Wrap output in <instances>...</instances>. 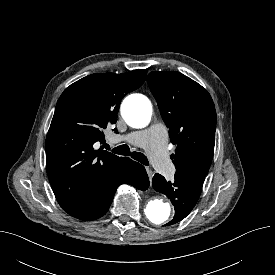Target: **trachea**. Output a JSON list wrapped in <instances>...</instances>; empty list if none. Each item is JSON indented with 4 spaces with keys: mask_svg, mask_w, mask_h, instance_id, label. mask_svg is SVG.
Wrapping results in <instances>:
<instances>
[{
    "mask_svg": "<svg viewBox=\"0 0 275 275\" xmlns=\"http://www.w3.org/2000/svg\"><path fill=\"white\" fill-rule=\"evenodd\" d=\"M106 149H109V145H107ZM112 152L119 155L131 156L133 159L139 161L143 165H149L147 157L140 152H131L129 146L120 145L112 149Z\"/></svg>",
    "mask_w": 275,
    "mask_h": 275,
    "instance_id": "3493384b",
    "label": "trachea"
}]
</instances>
